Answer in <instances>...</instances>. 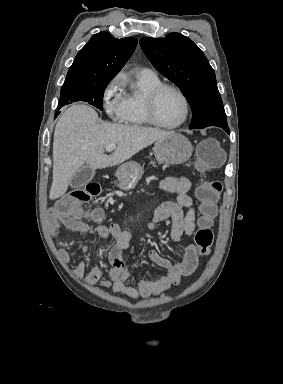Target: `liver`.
Segmentation results:
<instances>
[{
	"label": "liver",
	"mask_w": 283,
	"mask_h": 384,
	"mask_svg": "<svg viewBox=\"0 0 283 384\" xmlns=\"http://www.w3.org/2000/svg\"><path fill=\"white\" fill-rule=\"evenodd\" d=\"M97 122V112L84 104H73L60 116L53 140L50 200H56L67 192L72 176L83 164H88L92 170L119 166L143 148L174 134L144 126ZM107 144H117V150L110 156L104 154Z\"/></svg>",
	"instance_id": "6515ba94"
}]
</instances>
